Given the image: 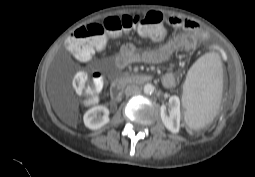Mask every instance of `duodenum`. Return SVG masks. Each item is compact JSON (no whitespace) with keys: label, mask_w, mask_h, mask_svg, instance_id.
Masks as SVG:
<instances>
[{"label":"duodenum","mask_w":255,"mask_h":177,"mask_svg":"<svg viewBox=\"0 0 255 177\" xmlns=\"http://www.w3.org/2000/svg\"><path fill=\"white\" fill-rule=\"evenodd\" d=\"M153 77L149 74H130L116 78L111 85V95L119 100L124 87L129 83L144 84L151 81Z\"/></svg>","instance_id":"obj_1"}]
</instances>
